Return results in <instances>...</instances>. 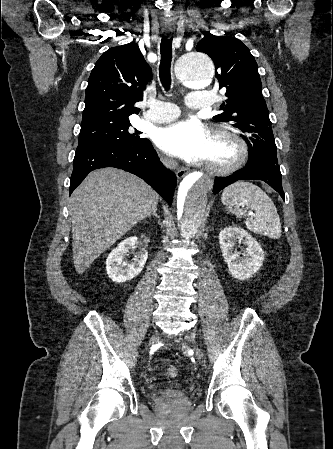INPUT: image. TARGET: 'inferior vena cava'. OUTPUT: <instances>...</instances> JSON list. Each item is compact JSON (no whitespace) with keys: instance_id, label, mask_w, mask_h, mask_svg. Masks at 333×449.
I'll return each mask as SVG.
<instances>
[{"instance_id":"1","label":"inferior vena cava","mask_w":333,"mask_h":449,"mask_svg":"<svg viewBox=\"0 0 333 449\" xmlns=\"http://www.w3.org/2000/svg\"><path fill=\"white\" fill-rule=\"evenodd\" d=\"M163 163L166 167H168L170 169H175L177 166V162L174 161L173 159H164Z\"/></svg>"}]
</instances>
